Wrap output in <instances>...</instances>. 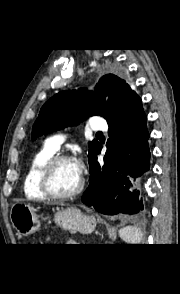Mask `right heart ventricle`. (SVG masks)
<instances>
[{
    "label": "right heart ventricle",
    "instance_id": "obj_1",
    "mask_svg": "<svg viewBox=\"0 0 180 294\" xmlns=\"http://www.w3.org/2000/svg\"><path fill=\"white\" fill-rule=\"evenodd\" d=\"M55 153V150L45 145L32 157L23 183V191L27 197L37 200L47 199L39 187V173L42 167Z\"/></svg>",
    "mask_w": 180,
    "mask_h": 294
}]
</instances>
